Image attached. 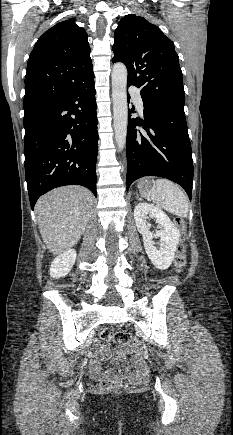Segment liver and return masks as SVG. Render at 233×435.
<instances>
[{"label": "liver", "mask_w": 233, "mask_h": 435, "mask_svg": "<svg viewBox=\"0 0 233 435\" xmlns=\"http://www.w3.org/2000/svg\"><path fill=\"white\" fill-rule=\"evenodd\" d=\"M92 193L82 186H64L41 196L35 205L38 227L50 253L72 248L91 217Z\"/></svg>", "instance_id": "1"}]
</instances>
